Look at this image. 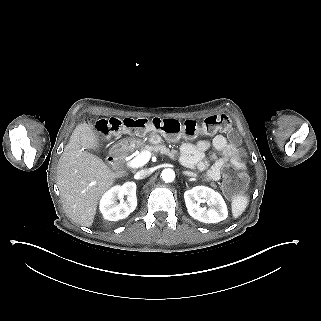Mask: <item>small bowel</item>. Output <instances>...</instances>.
<instances>
[{"mask_svg":"<svg viewBox=\"0 0 321 321\" xmlns=\"http://www.w3.org/2000/svg\"><path fill=\"white\" fill-rule=\"evenodd\" d=\"M159 141L158 137L154 138ZM213 147L215 154L210 160L206 158V152ZM231 144L221 135H217L210 143L208 140H200L197 143L185 142L181 145L182 162L188 167H197L200 171H207V176L211 180L217 181L221 176V171L228 161Z\"/></svg>","mask_w":321,"mask_h":321,"instance_id":"small-bowel-1","label":"small bowel"}]
</instances>
